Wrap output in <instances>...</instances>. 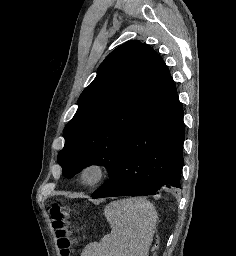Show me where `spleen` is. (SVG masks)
<instances>
[{
  "mask_svg": "<svg viewBox=\"0 0 236 256\" xmlns=\"http://www.w3.org/2000/svg\"><path fill=\"white\" fill-rule=\"evenodd\" d=\"M104 216L111 234L99 244H88L82 256H148L157 222L151 202L145 198L116 200L106 206Z\"/></svg>",
  "mask_w": 236,
  "mask_h": 256,
  "instance_id": "3e777b00",
  "label": "spleen"
}]
</instances>
